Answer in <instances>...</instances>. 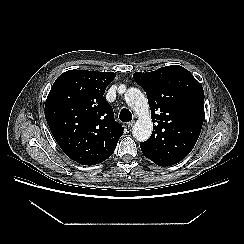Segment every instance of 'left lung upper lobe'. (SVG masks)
Segmentation results:
<instances>
[{
  "label": "left lung upper lobe",
  "mask_w": 244,
  "mask_h": 244,
  "mask_svg": "<svg viewBox=\"0 0 244 244\" xmlns=\"http://www.w3.org/2000/svg\"><path fill=\"white\" fill-rule=\"evenodd\" d=\"M133 78L146 92L153 120L151 137L140 143L142 153L159 166L180 162L191 152L201 132V84L179 65L136 72Z\"/></svg>",
  "instance_id": "left-lung-upper-lobe-1"
}]
</instances>
